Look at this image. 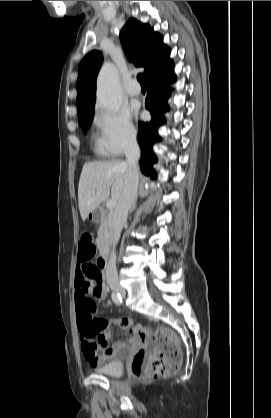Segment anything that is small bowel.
I'll return each instance as SVG.
<instances>
[{"mask_svg":"<svg viewBox=\"0 0 271 418\" xmlns=\"http://www.w3.org/2000/svg\"><path fill=\"white\" fill-rule=\"evenodd\" d=\"M106 286L102 280V267L93 261L77 262L74 278L75 312L80 335V345L84 358L93 366L99 367L108 360L125 355L144 341L146 333L140 326L133 328L128 317L117 319L114 324L129 333L135 334L131 346L126 342L109 344L112 332L108 322L99 312L98 301L105 299Z\"/></svg>","mask_w":271,"mask_h":418,"instance_id":"c3829d8e","label":"small bowel"}]
</instances>
